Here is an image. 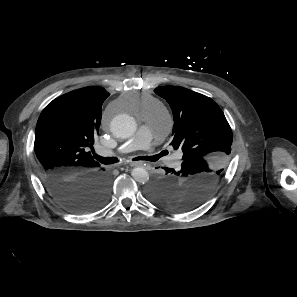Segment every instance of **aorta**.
Returning a JSON list of instances; mask_svg holds the SVG:
<instances>
[{"label": "aorta", "instance_id": "1", "mask_svg": "<svg viewBox=\"0 0 297 297\" xmlns=\"http://www.w3.org/2000/svg\"><path fill=\"white\" fill-rule=\"evenodd\" d=\"M112 133L119 138H129L136 130V124L134 120L127 114H120L113 118L110 124ZM131 175L133 179L140 183L145 184L149 180V173L142 167H135Z\"/></svg>", "mask_w": 297, "mask_h": 297}]
</instances>
